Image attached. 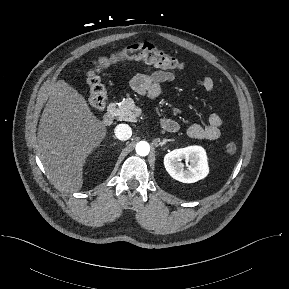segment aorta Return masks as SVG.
Here are the masks:
<instances>
[{
	"label": "aorta",
	"instance_id": "762f6f07",
	"mask_svg": "<svg viewBox=\"0 0 289 289\" xmlns=\"http://www.w3.org/2000/svg\"><path fill=\"white\" fill-rule=\"evenodd\" d=\"M150 152L149 143L146 141H140L136 145V153L140 156H147Z\"/></svg>",
	"mask_w": 289,
	"mask_h": 289
}]
</instances>
